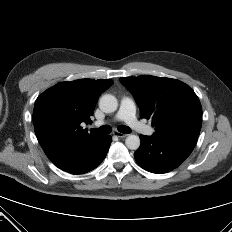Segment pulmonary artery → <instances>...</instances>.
Masks as SVG:
<instances>
[{
    "mask_svg": "<svg viewBox=\"0 0 232 232\" xmlns=\"http://www.w3.org/2000/svg\"><path fill=\"white\" fill-rule=\"evenodd\" d=\"M115 120L124 121L129 127L143 135H151L153 133V129L150 126L137 119L136 104L130 98H123L121 100L120 108L115 116ZM102 124H104V121L95 122L96 126H100Z\"/></svg>",
    "mask_w": 232,
    "mask_h": 232,
    "instance_id": "obj_1",
    "label": "pulmonary artery"
}]
</instances>
